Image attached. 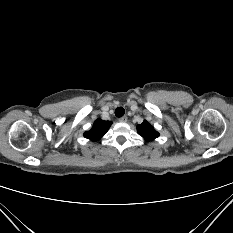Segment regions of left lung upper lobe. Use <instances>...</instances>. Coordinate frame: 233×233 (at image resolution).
I'll return each mask as SVG.
<instances>
[{
    "label": "left lung upper lobe",
    "mask_w": 233,
    "mask_h": 233,
    "mask_svg": "<svg viewBox=\"0 0 233 233\" xmlns=\"http://www.w3.org/2000/svg\"><path fill=\"white\" fill-rule=\"evenodd\" d=\"M138 133L146 140L152 141L159 136V133L154 130L146 120L142 124L137 126Z\"/></svg>",
    "instance_id": "1"
}]
</instances>
